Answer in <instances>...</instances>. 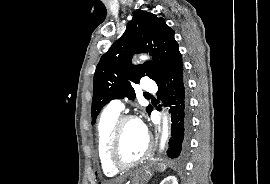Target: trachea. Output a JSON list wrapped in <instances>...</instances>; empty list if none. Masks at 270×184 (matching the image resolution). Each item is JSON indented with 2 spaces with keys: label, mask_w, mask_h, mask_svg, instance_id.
<instances>
[{
  "label": "trachea",
  "mask_w": 270,
  "mask_h": 184,
  "mask_svg": "<svg viewBox=\"0 0 270 184\" xmlns=\"http://www.w3.org/2000/svg\"><path fill=\"white\" fill-rule=\"evenodd\" d=\"M145 96H150V94H145Z\"/></svg>",
  "instance_id": "trachea-1"
}]
</instances>
